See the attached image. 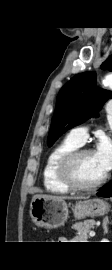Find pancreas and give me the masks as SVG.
Segmentation results:
<instances>
[{"instance_id":"pancreas-1","label":"pancreas","mask_w":112,"mask_h":270,"mask_svg":"<svg viewBox=\"0 0 112 270\" xmlns=\"http://www.w3.org/2000/svg\"><path fill=\"white\" fill-rule=\"evenodd\" d=\"M95 224L94 220H85L83 222L76 223L72 226L77 231V236L82 238L84 241L88 239V234Z\"/></svg>"}]
</instances>
